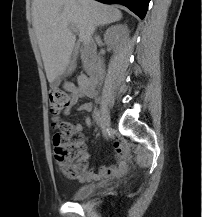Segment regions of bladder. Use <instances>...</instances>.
<instances>
[{"instance_id":"1","label":"bladder","mask_w":202,"mask_h":217,"mask_svg":"<svg viewBox=\"0 0 202 217\" xmlns=\"http://www.w3.org/2000/svg\"><path fill=\"white\" fill-rule=\"evenodd\" d=\"M95 186L93 184H85L77 188L70 196L73 201H82L88 198L94 191Z\"/></svg>"}]
</instances>
